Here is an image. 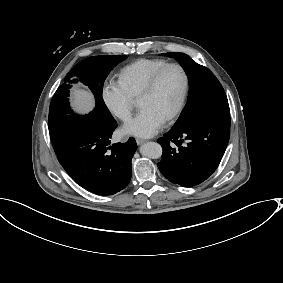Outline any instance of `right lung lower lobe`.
<instances>
[{
	"label": "right lung lower lobe",
	"mask_w": 283,
	"mask_h": 283,
	"mask_svg": "<svg viewBox=\"0 0 283 283\" xmlns=\"http://www.w3.org/2000/svg\"><path fill=\"white\" fill-rule=\"evenodd\" d=\"M117 127L114 118H89L75 131V138L57 158L81 187L98 195L124 189L132 175L131 160L137 145L134 138L110 146Z\"/></svg>",
	"instance_id": "98d812e1"
}]
</instances>
